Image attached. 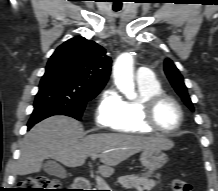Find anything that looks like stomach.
<instances>
[{
	"label": "stomach",
	"mask_w": 218,
	"mask_h": 191,
	"mask_svg": "<svg viewBox=\"0 0 218 191\" xmlns=\"http://www.w3.org/2000/svg\"><path fill=\"white\" fill-rule=\"evenodd\" d=\"M167 160V155L161 149H146L140 156L141 164L150 172L163 167Z\"/></svg>",
	"instance_id": "stomach-1"
}]
</instances>
